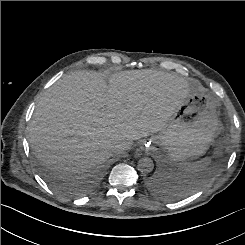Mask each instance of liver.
I'll use <instances>...</instances> for the list:
<instances>
[{
    "mask_svg": "<svg viewBox=\"0 0 245 245\" xmlns=\"http://www.w3.org/2000/svg\"><path fill=\"white\" fill-rule=\"evenodd\" d=\"M192 88L185 78L151 69L114 73L108 84L95 72L68 74L36 106L31 149L54 169L82 172L117 154V144L129 148L161 131Z\"/></svg>",
    "mask_w": 245,
    "mask_h": 245,
    "instance_id": "obj_1",
    "label": "liver"
}]
</instances>
